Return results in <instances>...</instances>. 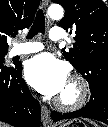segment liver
<instances>
[{
	"mask_svg": "<svg viewBox=\"0 0 108 127\" xmlns=\"http://www.w3.org/2000/svg\"><path fill=\"white\" fill-rule=\"evenodd\" d=\"M0 127H9L7 124L1 123Z\"/></svg>",
	"mask_w": 108,
	"mask_h": 127,
	"instance_id": "6515ba94",
	"label": "liver"
}]
</instances>
